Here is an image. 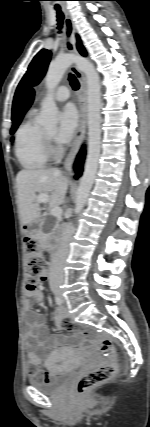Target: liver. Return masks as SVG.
Segmentation results:
<instances>
[{
  "instance_id": "1",
  "label": "liver",
  "mask_w": 150,
  "mask_h": 427,
  "mask_svg": "<svg viewBox=\"0 0 150 427\" xmlns=\"http://www.w3.org/2000/svg\"><path fill=\"white\" fill-rule=\"evenodd\" d=\"M17 198L24 225L37 222L41 211L36 192L48 195L51 207H59L64 202L68 189V179L58 169L21 170L16 177Z\"/></svg>"
}]
</instances>
